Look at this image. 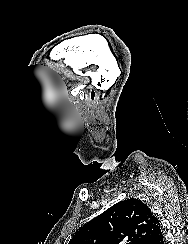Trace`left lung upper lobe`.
Returning a JSON list of instances; mask_svg holds the SVG:
<instances>
[{
  "instance_id": "1",
  "label": "left lung upper lobe",
  "mask_w": 188,
  "mask_h": 244,
  "mask_svg": "<svg viewBox=\"0 0 188 244\" xmlns=\"http://www.w3.org/2000/svg\"><path fill=\"white\" fill-rule=\"evenodd\" d=\"M158 223L146 204L130 198L85 224L68 244H148Z\"/></svg>"
}]
</instances>
